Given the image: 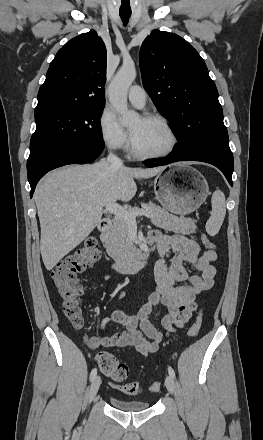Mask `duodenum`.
Here are the masks:
<instances>
[{
    "instance_id": "1",
    "label": "duodenum",
    "mask_w": 263,
    "mask_h": 440,
    "mask_svg": "<svg viewBox=\"0 0 263 440\" xmlns=\"http://www.w3.org/2000/svg\"><path fill=\"white\" fill-rule=\"evenodd\" d=\"M110 226L111 220L108 218H104L99 223V230L102 233L106 234L110 230ZM148 244L149 246L146 249L136 253L132 258L128 260L112 261L111 267L116 271L124 274L135 273L141 270L151 256V242L148 241Z\"/></svg>"
}]
</instances>
